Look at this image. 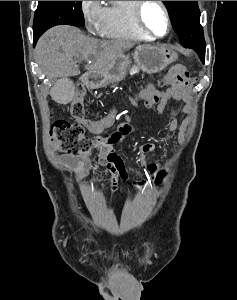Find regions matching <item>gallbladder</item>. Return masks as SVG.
<instances>
[{"label": "gallbladder", "mask_w": 237, "mask_h": 300, "mask_svg": "<svg viewBox=\"0 0 237 300\" xmlns=\"http://www.w3.org/2000/svg\"><path fill=\"white\" fill-rule=\"evenodd\" d=\"M57 84H54L52 90V100L56 105H70L75 88L73 87L71 76H59Z\"/></svg>", "instance_id": "bac80fb5"}]
</instances>
